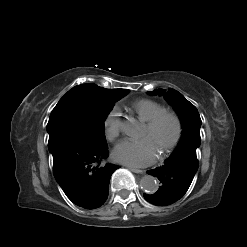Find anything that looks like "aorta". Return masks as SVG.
Here are the masks:
<instances>
[{
	"label": "aorta",
	"mask_w": 247,
	"mask_h": 247,
	"mask_svg": "<svg viewBox=\"0 0 247 247\" xmlns=\"http://www.w3.org/2000/svg\"><path fill=\"white\" fill-rule=\"evenodd\" d=\"M122 132L129 137H136L140 132V124L130 119L121 125ZM140 186L143 191L148 194H154L158 190V181L154 176L145 175L140 181Z\"/></svg>",
	"instance_id": "obj_1"
}]
</instances>
